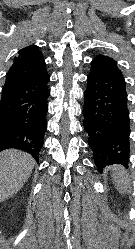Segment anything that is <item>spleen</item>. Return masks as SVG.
Returning <instances> with one entry per match:
<instances>
[{"label": "spleen", "instance_id": "3e777b00", "mask_svg": "<svg viewBox=\"0 0 135 249\" xmlns=\"http://www.w3.org/2000/svg\"><path fill=\"white\" fill-rule=\"evenodd\" d=\"M112 177L119 193L124 194L130 192V177L123 166H113Z\"/></svg>", "mask_w": 135, "mask_h": 249}]
</instances>
